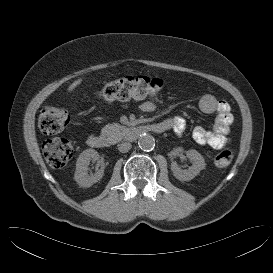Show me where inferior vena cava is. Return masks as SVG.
Returning <instances> with one entry per match:
<instances>
[{
	"instance_id": "inferior-vena-cava-1",
	"label": "inferior vena cava",
	"mask_w": 273,
	"mask_h": 273,
	"mask_svg": "<svg viewBox=\"0 0 273 273\" xmlns=\"http://www.w3.org/2000/svg\"><path fill=\"white\" fill-rule=\"evenodd\" d=\"M132 145L129 142H123L118 145V150L122 153H126L131 149Z\"/></svg>"
}]
</instances>
